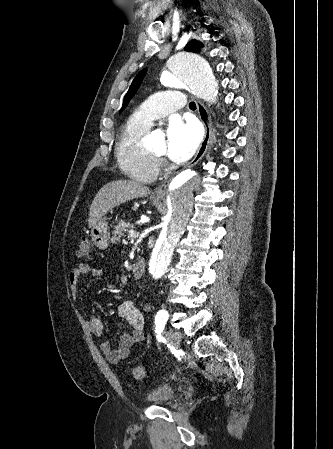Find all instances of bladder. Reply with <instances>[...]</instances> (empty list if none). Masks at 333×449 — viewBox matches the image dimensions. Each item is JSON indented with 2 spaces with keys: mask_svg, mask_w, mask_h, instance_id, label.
Wrapping results in <instances>:
<instances>
[{
  "mask_svg": "<svg viewBox=\"0 0 333 449\" xmlns=\"http://www.w3.org/2000/svg\"><path fill=\"white\" fill-rule=\"evenodd\" d=\"M177 399L174 388L162 385L152 389L146 396V400L156 405H169Z\"/></svg>",
  "mask_w": 333,
  "mask_h": 449,
  "instance_id": "bladder-1",
  "label": "bladder"
}]
</instances>
